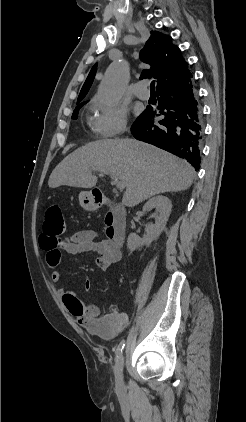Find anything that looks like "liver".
I'll use <instances>...</instances> for the list:
<instances>
[{
    "instance_id": "obj_1",
    "label": "liver",
    "mask_w": 246,
    "mask_h": 422,
    "mask_svg": "<svg viewBox=\"0 0 246 422\" xmlns=\"http://www.w3.org/2000/svg\"><path fill=\"white\" fill-rule=\"evenodd\" d=\"M105 170L125 184L123 204L133 207L160 193L187 190L194 168L185 160L134 139H105L88 143L65 157L52 171L50 188H94L92 171Z\"/></svg>"
}]
</instances>
